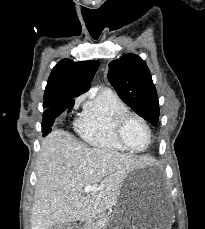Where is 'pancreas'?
<instances>
[{
	"instance_id": "1",
	"label": "pancreas",
	"mask_w": 205,
	"mask_h": 229,
	"mask_svg": "<svg viewBox=\"0 0 205 229\" xmlns=\"http://www.w3.org/2000/svg\"><path fill=\"white\" fill-rule=\"evenodd\" d=\"M110 216L105 212L95 214L90 222H88L84 229H105V226L110 220Z\"/></svg>"
}]
</instances>
